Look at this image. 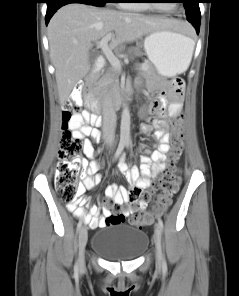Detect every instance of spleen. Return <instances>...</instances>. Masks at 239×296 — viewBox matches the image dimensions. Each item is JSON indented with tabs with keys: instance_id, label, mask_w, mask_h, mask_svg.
<instances>
[{
	"instance_id": "obj_1",
	"label": "spleen",
	"mask_w": 239,
	"mask_h": 296,
	"mask_svg": "<svg viewBox=\"0 0 239 296\" xmlns=\"http://www.w3.org/2000/svg\"><path fill=\"white\" fill-rule=\"evenodd\" d=\"M194 45H195V43H194V41L192 40V44H191L190 47H189V54H188L187 65H186V68H185V69L188 68V66H189V64H190V62H191L192 53H193V50H194Z\"/></svg>"
}]
</instances>
